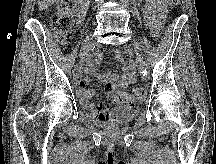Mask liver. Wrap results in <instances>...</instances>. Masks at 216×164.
Returning a JSON list of instances; mask_svg holds the SVG:
<instances>
[{"mask_svg":"<svg viewBox=\"0 0 216 164\" xmlns=\"http://www.w3.org/2000/svg\"><path fill=\"white\" fill-rule=\"evenodd\" d=\"M56 0H38V8L40 11H43L50 6H52Z\"/></svg>","mask_w":216,"mask_h":164,"instance_id":"1","label":"liver"}]
</instances>
